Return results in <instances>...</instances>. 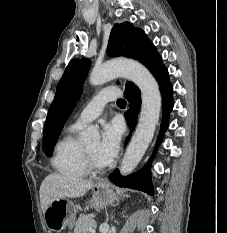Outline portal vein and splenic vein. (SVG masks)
<instances>
[{"label":"portal vein and splenic vein","mask_w":227,"mask_h":233,"mask_svg":"<svg viewBox=\"0 0 227 233\" xmlns=\"http://www.w3.org/2000/svg\"><path fill=\"white\" fill-rule=\"evenodd\" d=\"M90 232H94V229L93 228H89L88 229Z\"/></svg>","instance_id":"1"}]
</instances>
